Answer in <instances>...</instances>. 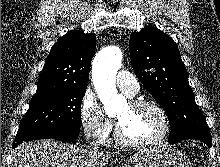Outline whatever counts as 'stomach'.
Wrapping results in <instances>:
<instances>
[{
	"instance_id": "obj_1",
	"label": "stomach",
	"mask_w": 220,
	"mask_h": 167,
	"mask_svg": "<svg viewBox=\"0 0 220 167\" xmlns=\"http://www.w3.org/2000/svg\"><path fill=\"white\" fill-rule=\"evenodd\" d=\"M124 167H192L181 151L169 147L147 148L130 157Z\"/></svg>"
}]
</instances>
